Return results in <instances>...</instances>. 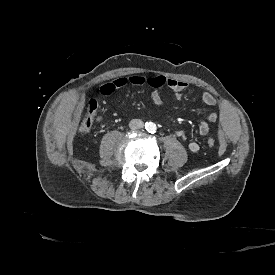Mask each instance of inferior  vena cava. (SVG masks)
Segmentation results:
<instances>
[{"label": "inferior vena cava", "instance_id": "1", "mask_svg": "<svg viewBox=\"0 0 275 275\" xmlns=\"http://www.w3.org/2000/svg\"><path fill=\"white\" fill-rule=\"evenodd\" d=\"M144 127V122L141 119H132L129 122L130 129H140Z\"/></svg>", "mask_w": 275, "mask_h": 275}]
</instances>
